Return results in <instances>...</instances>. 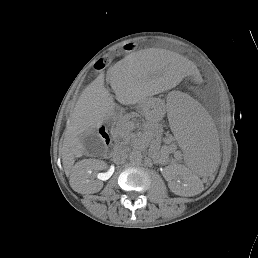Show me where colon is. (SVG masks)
<instances>
[{
  "label": "colon",
  "instance_id": "obj_1",
  "mask_svg": "<svg viewBox=\"0 0 258 258\" xmlns=\"http://www.w3.org/2000/svg\"><path fill=\"white\" fill-rule=\"evenodd\" d=\"M108 63H109V58L107 56H104L97 61L96 67L98 69L104 68L108 65Z\"/></svg>",
  "mask_w": 258,
  "mask_h": 258
}]
</instances>
